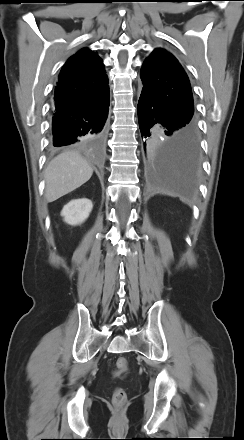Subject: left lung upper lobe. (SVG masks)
<instances>
[{"label": "left lung upper lobe", "mask_w": 244, "mask_h": 440, "mask_svg": "<svg viewBox=\"0 0 244 440\" xmlns=\"http://www.w3.org/2000/svg\"><path fill=\"white\" fill-rule=\"evenodd\" d=\"M143 88H147L177 111L194 117V104L189 79L178 62L168 51L157 48L145 60L141 69Z\"/></svg>", "instance_id": "obj_1"}]
</instances>
